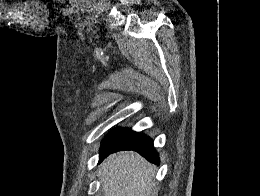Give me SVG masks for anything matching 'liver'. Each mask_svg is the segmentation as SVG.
<instances>
[{
    "label": "liver",
    "mask_w": 260,
    "mask_h": 196,
    "mask_svg": "<svg viewBox=\"0 0 260 196\" xmlns=\"http://www.w3.org/2000/svg\"><path fill=\"white\" fill-rule=\"evenodd\" d=\"M155 166L136 152L111 154L100 164L98 178L104 196H152Z\"/></svg>",
    "instance_id": "1"
}]
</instances>
